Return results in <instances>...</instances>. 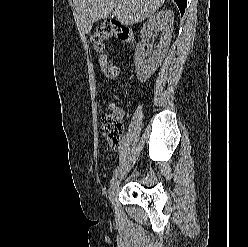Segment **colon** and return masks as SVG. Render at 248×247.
Returning <instances> with one entry per match:
<instances>
[{"mask_svg": "<svg viewBox=\"0 0 248 247\" xmlns=\"http://www.w3.org/2000/svg\"><path fill=\"white\" fill-rule=\"evenodd\" d=\"M109 38L129 42L132 35L128 27L115 20H108L95 28L92 34V42L98 51L103 52L105 41ZM100 66L106 77L115 78L119 75V67L104 56L100 59ZM120 117L121 112L118 109H113L111 112L104 114L101 119V132L112 148H118L121 143L123 125Z\"/></svg>", "mask_w": 248, "mask_h": 247, "instance_id": "colon-1", "label": "colon"}]
</instances>
